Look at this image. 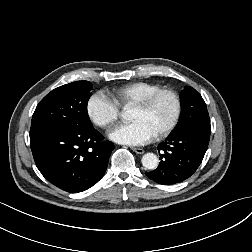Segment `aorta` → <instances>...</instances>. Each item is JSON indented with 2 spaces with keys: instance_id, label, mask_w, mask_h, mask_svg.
<instances>
[{
  "instance_id": "aorta-1",
  "label": "aorta",
  "mask_w": 252,
  "mask_h": 252,
  "mask_svg": "<svg viewBox=\"0 0 252 252\" xmlns=\"http://www.w3.org/2000/svg\"><path fill=\"white\" fill-rule=\"evenodd\" d=\"M131 117L130 110L124 109L121 112V118L124 120H129ZM142 165L149 170H154L157 168L159 160L154 153H146L141 159Z\"/></svg>"
}]
</instances>
